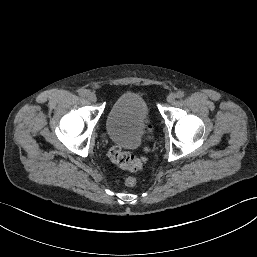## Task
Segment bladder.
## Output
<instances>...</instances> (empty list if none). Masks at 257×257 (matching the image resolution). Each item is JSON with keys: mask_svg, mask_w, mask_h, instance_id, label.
<instances>
[{"mask_svg": "<svg viewBox=\"0 0 257 257\" xmlns=\"http://www.w3.org/2000/svg\"><path fill=\"white\" fill-rule=\"evenodd\" d=\"M148 114L147 102L140 94L123 93L108 112L105 121L106 134L118 145L134 148L143 138Z\"/></svg>", "mask_w": 257, "mask_h": 257, "instance_id": "bladder-1", "label": "bladder"}]
</instances>
